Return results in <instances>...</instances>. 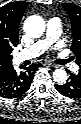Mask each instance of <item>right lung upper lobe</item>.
<instances>
[{
	"label": "right lung upper lobe",
	"mask_w": 81,
	"mask_h": 124,
	"mask_svg": "<svg viewBox=\"0 0 81 124\" xmlns=\"http://www.w3.org/2000/svg\"><path fill=\"white\" fill-rule=\"evenodd\" d=\"M28 2H10L0 8V72L12 66V51L18 45L19 24Z\"/></svg>",
	"instance_id": "right-lung-upper-lobe-1"
}]
</instances>
